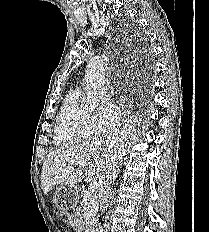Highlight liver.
Returning a JSON list of instances; mask_svg holds the SVG:
<instances>
[{
	"label": "liver",
	"instance_id": "1",
	"mask_svg": "<svg viewBox=\"0 0 209 232\" xmlns=\"http://www.w3.org/2000/svg\"><path fill=\"white\" fill-rule=\"evenodd\" d=\"M121 138L114 134V139L107 136L94 137L59 148L48 154L42 167L41 187L46 195L54 185H74L81 181V166L73 161H85L88 178L101 179L106 167L113 159H119Z\"/></svg>",
	"mask_w": 209,
	"mask_h": 232
}]
</instances>
